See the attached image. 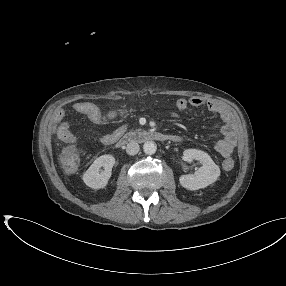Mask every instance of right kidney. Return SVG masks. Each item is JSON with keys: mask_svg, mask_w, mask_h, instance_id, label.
I'll list each match as a JSON object with an SVG mask.
<instances>
[{"mask_svg": "<svg viewBox=\"0 0 286 286\" xmlns=\"http://www.w3.org/2000/svg\"><path fill=\"white\" fill-rule=\"evenodd\" d=\"M115 165V158L112 155H102L94 160L92 165L83 174L84 183L92 189L106 187ZM103 167L104 170H100Z\"/></svg>", "mask_w": 286, "mask_h": 286, "instance_id": "right-kidney-1", "label": "right kidney"}]
</instances>
